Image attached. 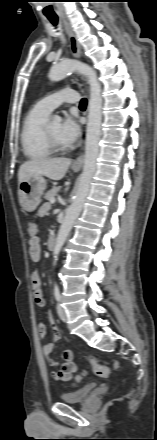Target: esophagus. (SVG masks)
I'll return each mask as SVG.
<instances>
[{
	"instance_id": "esophagus-1",
	"label": "esophagus",
	"mask_w": 157,
	"mask_h": 440,
	"mask_svg": "<svg viewBox=\"0 0 157 440\" xmlns=\"http://www.w3.org/2000/svg\"><path fill=\"white\" fill-rule=\"evenodd\" d=\"M63 23H64L65 31H66V33H67V35H68V37H69L71 53H72V55H73L75 58H80V57H81V54H82V52H81V47H80V43H79V41L77 40V37L75 36L74 32H73L72 29L70 28V26H69V24L67 23V21L64 20ZM83 162H84V155L81 154V155H80V156H79V157L73 162V165H72V166H73L74 168H80V167H82Z\"/></svg>"
}]
</instances>
